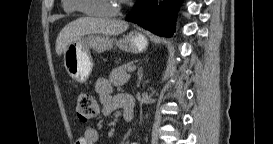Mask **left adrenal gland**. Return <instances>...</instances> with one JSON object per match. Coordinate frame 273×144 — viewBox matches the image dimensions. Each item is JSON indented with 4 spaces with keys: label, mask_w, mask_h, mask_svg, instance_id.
<instances>
[{
    "label": "left adrenal gland",
    "mask_w": 273,
    "mask_h": 144,
    "mask_svg": "<svg viewBox=\"0 0 273 144\" xmlns=\"http://www.w3.org/2000/svg\"><path fill=\"white\" fill-rule=\"evenodd\" d=\"M143 69H142V67L141 68H139L138 69V80H139V83L141 82V80H142V76H143Z\"/></svg>",
    "instance_id": "obj_1"
}]
</instances>
